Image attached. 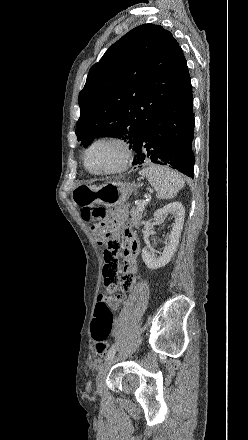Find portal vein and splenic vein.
Segmentation results:
<instances>
[{
    "mask_svg": "<svg viewBox=\"0 0 248 440\" xmlns=\"http://www.w3.org/2000/svg\"><path fill=\"white\" fill-rule=\"evenodd\" d=\"M138 210L140 211L144 210V202L138 205Z\"/></svg>",
    "mask_w": 248,
    "mask_h": 440,
    "instance_id": "portal-vein-and-splenic-vein-1",
    "label": "portal vein and splenic vein"
}]
</instances>
